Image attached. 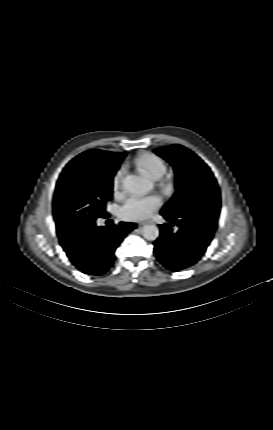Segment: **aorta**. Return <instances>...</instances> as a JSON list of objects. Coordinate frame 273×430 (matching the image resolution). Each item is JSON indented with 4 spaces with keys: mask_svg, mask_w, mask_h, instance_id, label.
<instances>
[{
    "mask_svg": "<svg viewBox=\"0 0 273 430\" xmlns=\"http://www.w3.org/2000/svg\"><path fill=\"white\" fill-rule=\"evenodd\" d=\"M124 188L134 196H142L153 188V182L142 176L128 175L124 179ZM142 235L149 241H154L159 236V229L155 225H145Z\"/></svg>",
    "mask_w": 273,
    "mask_h": 430,
    "instance_id": "obj_1",
    "label": "aorta"
}]
</instances>
